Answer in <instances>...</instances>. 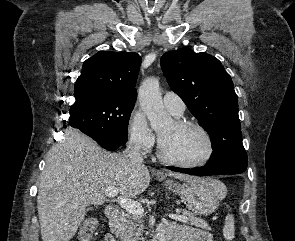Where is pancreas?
Here are the masks:
<instances>
[{
  "mask_svg": "<svg viewBox=\"0 0 295 241\" xmlns=\"http://www.w3.org/2000/svg\"><path fill=\"white\" fill-rule=\"evenodd\" d=\"M180 212L187 217V223L205 230H211L209 224L185 209ZM111 231L122 241H138L143 233L142 219L135 214L122 212L118 219L110 223Z\"/></svg>",
  "mask_w": 295,
  "mask_h": 241,
  "instance_id": "1",
  "label": "pancreas"
}]
</instances>
